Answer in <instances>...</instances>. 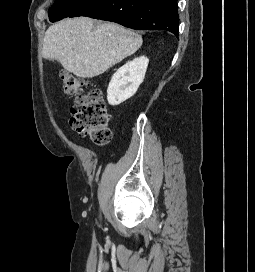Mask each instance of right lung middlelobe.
<instances>
[{"mask_svg":"<svg viewBox=\"0 0 255 272\" xmlns=\"http://www.w3.org/2000/svg\"><path fill=\"white\" fill-rule=\"evenodd\" d=\"M90 0H56L49 9V19L51 22L66 18L80 9Z\"/></svg>","mask_w":255,"mask_h":272,"instance_id":"dd1d6c3e","label":"right lung middle lobe"}]
</instances>
